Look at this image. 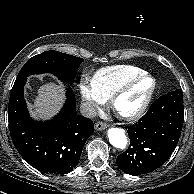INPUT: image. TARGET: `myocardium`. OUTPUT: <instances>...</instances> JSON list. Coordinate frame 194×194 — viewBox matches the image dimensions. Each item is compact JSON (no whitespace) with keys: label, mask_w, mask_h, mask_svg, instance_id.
<instances>
[{"label":"myocardium","mask_w":194,"mask_h":194,"mask_svg":"<svg viewBox=\"0 0 194 194\" xmlns=\"http://www.w3.org/2000/svg\"><path fill=\"white\" fill-rule=\"evenodd\" d=\"M144 79H150L152 81V87L150 89V91L148 92V94L146 95L145 99L143 100L142 104L140 105V107L129 114H124V113H120L117 108H116V103L118 101V99L123 96L124 94H126L131 88H133L136 84H138L139 82H141ZM157 80L156 78L151 75L148 72H144L140 75H137L127 81H125L124 83H122L110 96L109 98V104L110 107L112 108V110L116 113V115L126 121H133V120H137L140 117H142L144 115V113L147 111L155 93L157 90Z\"/></svg>","instance_id":"obj_1"}]
</instances>
